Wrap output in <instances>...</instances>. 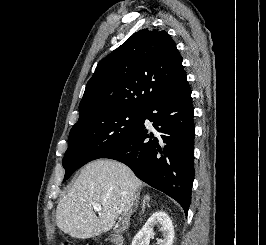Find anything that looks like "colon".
I'll list each match as a JSON object with an SVG mask.
<instances>
[{"label": "colon", "mask_w": 266, "mask_h": 245, "mask_svg": "<svg viewBox=\"0 0 266 245\" xmlns=\"http://www.w3.org/2000/svg\"><path fill=\"white\" fill-rule=\"evenodd\" d=\"M63 245H70V243L69 242H64Z\"/></svg>", "instance_id": "1"}]
</instances>
